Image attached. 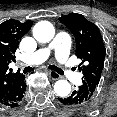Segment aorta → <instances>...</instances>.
Listing matches in <instances>:
<instances>
[{"label": "aorta", "mask_w": 117, "mask_h": 117, "mask_svg": "<svg viewBox=\"0 0 117 117\" xmlns=\"http://www.w3.org/2000/svg\"><path fill=\"white\" fill-rule=\"evenodd\" d=\"M54 35V26L48 21H40L33 28L34 38L41 43L50 42ZM54 91L59 97H67L71 92V85L66 80H58L54 85Z\"/></svg>", "instance_id": "aorta-1"}]
</instances>
